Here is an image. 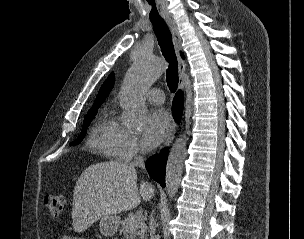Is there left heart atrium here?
Here are the masks:
<instances>
[{"mask_svg": "<svg viewBox=\"0 0 304 239\" xmlns=\"http://www.w3.org/2000/svg\"><path fill=\"white\" fill-rule=\"evenodd\" d=\"M170 117L165 109L154 110L149 116L147 126L144 132V142L148 148L158 146L170 128Z\"/></svg>", "mask_w": 304, "mask_h": 239, "instance_id": "left-heart-atrium-1", "label": "left heart atrium"}]
</instances>
